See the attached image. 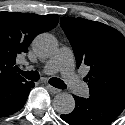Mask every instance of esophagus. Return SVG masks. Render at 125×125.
Here are the masks:
<instances>
[{
  "mask_svg": "<svg viewBox=\"0 0 125 125\" xmlns=\"http://www.w3.org/2000/svg\"><path fill=\"white\" fill-rule=\"evenodd\" d=\"M47 88L49 89V91H50L52 94H58V93L61 92L60 89H57V88H55V87H53V86H51V85H47Z\"/></svg>",
  "mask_w": 125,
  "mask_h": 125,
  "instance_id": "1",
  "label": "esophagus"
}]
</instances>
